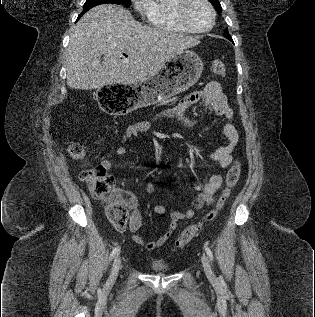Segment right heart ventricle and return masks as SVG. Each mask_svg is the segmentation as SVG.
<instances>
[{
    "label": "right heart ventricle",
    "mask_w": 315,
    "mask_h": 317,
    "mask_svg": "<svg viewBox=\"0 0 315 317\" xmlns=\"http://www.w3.org/2000/svg\"><path fill=\"white\" fill-rule=\"evenodd\" d=\"M179 0H151L146 14L147 22L154 28L189 33L177 18V5Z\"/></svg>",
    "instance_id": "obj_1"
}]
</instances>
